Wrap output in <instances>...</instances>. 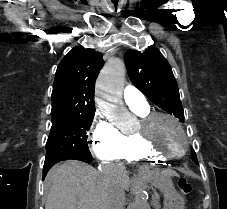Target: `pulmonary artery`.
Wrapping results in <instances>:
<instances>
[{"instance_id":"obj_1","label":"pulmonary artery","mask_w":227,"mask_h":209,"mask_svg":"<svg viewBox=\"0 0 227 209\" xmlns=\"http://www.w3.org/2000/svg\"><path fill=\"white\" fill-rule=\"evenodd\" d=\"M124 101L133 108H147L148 103L145 95H141L140 88H125L123 93Z\"/></svg>"}]
</instances>
